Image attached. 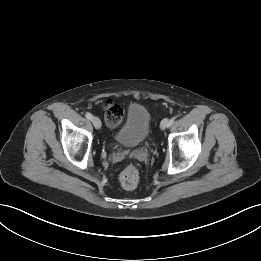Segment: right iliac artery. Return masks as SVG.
Segmentation results:
<instances>
[{
    "mask_svg": "<svg viewBox=\"0 0 261 261\" xmlns=\"http://www.w3.org/2000/svg\"><path fill=\"white\" fill-rule=\"evenodd\" d=\"M87 119L92 120L93 116L91 113L87 112L86 115Z\"/></svg>",
    "mask_w": 261,
    "mask_h": 261,
    "instance_id": "82829eb1",
    "label": "right iliac artery"
}]
</instances>
